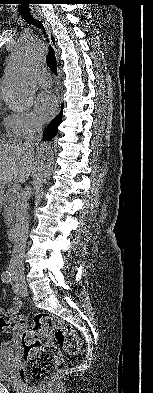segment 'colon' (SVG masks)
Returning a JSON list of instances; mask_svg holds the SVG:
<instances>
[{
    "label": "colon",
    "mask_w": 153,
    "mask_h": 393,
    "mask_svg": "<svg viewBox=\"0 0 153 393\" xmlns=\"http://www.w3.org/2000/svg\"><path fill=\"white\" fill-rule=\"evenodd\" d=\"M12 330L21 331L24 363L20 377L34 393H42L63 367L61 350L50 344L53 336L69 355L77 356L81 350V342L73 328L47 313L37 314L31 324L22 315L0 317V331Z\"/></svg>",
    "instance_id": "obj_1"
}]
</instances>
